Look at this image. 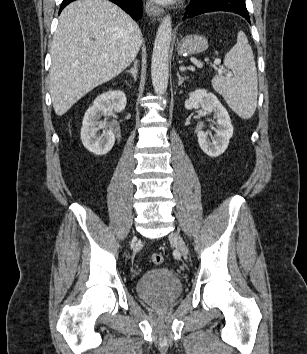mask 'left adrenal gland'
I'll return each mask as SVG.
<instances>
[{
  "label": "left adrenal gland",
  "instance_id": "left-adrenal-gland-1",
  "mask_svg": "<svg viewBox=\"0 0 307 354\" xmlns=\"http://www.w3.org/2000/svg\"><path fill=\"white\" fill-rule=\"evenodd\" d=\"M177 76H178V85L179 86H182L183 82L188 79V77H181L179 72H177Z\"/></svg>",
  "mask_w": 307,
  "mask_h": 354
}]
</instances>
